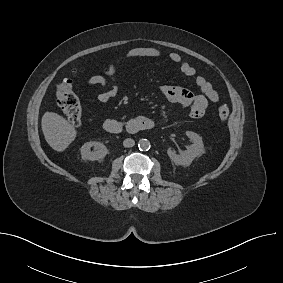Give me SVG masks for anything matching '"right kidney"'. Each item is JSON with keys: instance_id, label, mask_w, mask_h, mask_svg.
I'll list each match as a JSON object with an SVG mask.
<instances>
[{"instance_id": "obj_1", "label": "right kidney", "mask_w": 283, "mask_h": 283, "mask_svg": "<svg viewBox=\"0 0 283 283\" xmlns=\"http://www.w3.org/2000/svg\"><path fill=\"white\" fill-rule=\"evenodd\" d=\"M91 147H95L94 151H91ZM81 157L83 160H102L109 153L108 149L103 143L90 141L85 143L81 149Z\"/></svg>"}]
</instances>
